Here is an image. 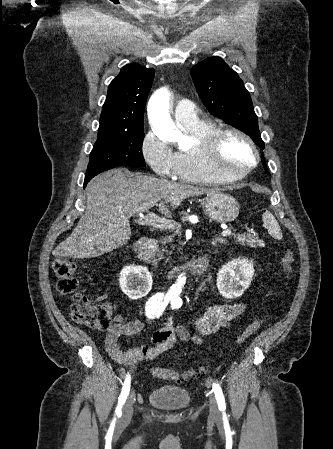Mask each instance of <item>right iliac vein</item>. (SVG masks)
I'll return each instance as SVG.
<instances>
[{"mask_svg": "<svg viewBox=\"0 0 333 449\" xmlns=\"http://www.w3.org/2000/svg\"><path fill=\"white\" fill-rule=\"evenodd\" d=\"M133 403H134V392L132 391L123 406V411L119 422L120 425L126 426L130 423L133 415Z\"/></svg>", "mask_w": 333, "mask_h": 449, "instance_id": "1", "label": "right iliac vein"}]
</instances>
